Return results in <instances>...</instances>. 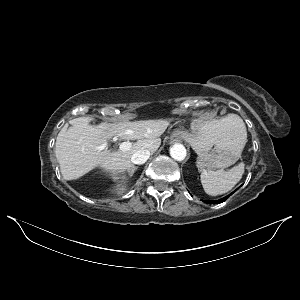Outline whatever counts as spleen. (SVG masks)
Masks as SVG:
<instances>
[{"instance_id": "1", "label": "spleen", "mask_w": 300, "mask_h": 300, "mask_svg": "<svg viewBox=\"0 0 300 300\" xmlns=\"http://www.w3.org/2000/svg\"><path fill=\"white\" fill-rule=\"evenodd\" d=\"M225 118L232 120L239 132L243 134L245 145L247 142V131L241 117L236 114H229ZM243 173L244 163H240L227 171L205 170L200 177L204 191L208 195L217 196L230 191L241 180Z\"/></svg>"}]
</instances>
